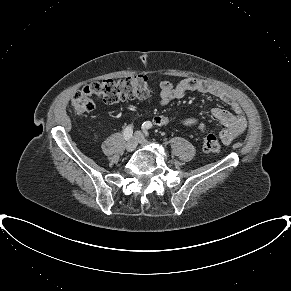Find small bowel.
Here are the masks:
<instances>
[{
	"instance_id": "c3829d8e",
	"label": "small bowel",
	"mask_w": 291,
	"mask_h": 291,
	"mask_svg": "<svg viewBox=\"0 0 291 291\" xmlns=\"http://www.w3.org/2000/svg\"><path fill=\"white\" fill-rule=\"evenodd\" d=\"M160 88V103L162 105H166L172 100L184 98L188 91L209 94L227 104L231 111L220 108H214L210 111L211 115L224 126V129L219 133V138L225 145L232 143L246 129L247 121L239 103L231 92L218 84L196 78H186L175 86L164 81ZM183 123L189 127L198 125V121L192 117L185 118Z\"/></svg>"
}]
</instances>
